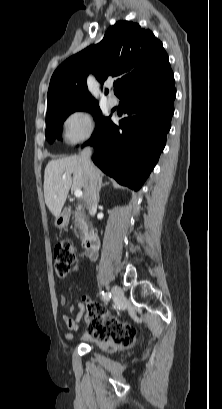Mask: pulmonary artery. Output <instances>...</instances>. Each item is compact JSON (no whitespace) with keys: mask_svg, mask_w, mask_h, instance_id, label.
<instances>
[{"mask_svg":"<svg viewBox=\"0 0 222 409\" xmlns=\"http://www.w3.org/2000/svg\"><path fill=\"white\" fill-rule=\"evenodd\" d=\"M107 104L109 107H115L117 105V100L115 97L110 96L107 100Z\"/></svg>","mask_w":222,"mask_h":409,"instance_id":"e3ab8cb5","label":"pulmonary artery"}]
</instances>
